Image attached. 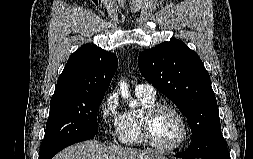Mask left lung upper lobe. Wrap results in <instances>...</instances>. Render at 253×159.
I'll list each match as a JSON object with an SVG mask.
<instances>
[{
    "label": "left lung upper lobe",
    "mask_w": 253,
    "mask_h": 159,
    "mask_svg": "<svg viewBox=\"0 0 253 159\" xmlns=\"http://www.w3.org/2000/svg\"><path fill=\"white\" fill-rule=\"evenodd\" d=\"M138 65L142 76L186 116L190 146L201 156L209 153L223 136L210 76L197 53L172 39L143 51Z\"/></svg>",
    "instance_id": "left-lung-upper-lobe-1"
}]
</instances>
